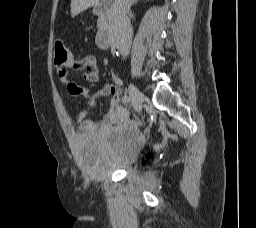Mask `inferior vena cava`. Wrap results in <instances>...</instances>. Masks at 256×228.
<instances>
[{"instance_id":"obj_1","label":"inferior vena cava","mask_w":256,"mask_h":228,"mask_svg":"<svg viewBox=\"0 0 256 228\" xmlns=\"http://www.w3.org/2000/svg\"><path fill=\"white\" fill-rule=\"evenodd\" d=\"M134 0H114L109 11L112 38L123 57L128 56L132 44V28L127 13Z\"/></svg>"}]
</instances>
